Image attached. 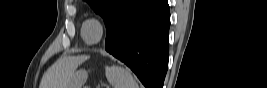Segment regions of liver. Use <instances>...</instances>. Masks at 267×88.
<instances>
[{
  "label": "liver",
  "mask_w": 267,
  "mask_h": 88,
  "mask_svg": "<svg viewBox=\"0 0 267 88\" xmlns=\"http://www.w3.org/2000/svg\"><path fill=\"white\" fill-rule=\"evenodd\" d=\"M84 56H63L44 73L40 88H66Z\"/></svg>",
  "instance_id": "obj_1"
}]
</instances>
